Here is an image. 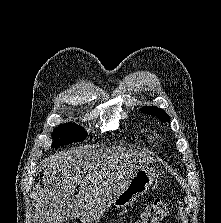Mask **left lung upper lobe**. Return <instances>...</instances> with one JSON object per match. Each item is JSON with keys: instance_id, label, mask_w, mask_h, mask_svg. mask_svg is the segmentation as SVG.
<instances>
[{"instance_id": "5c2ea615", "label": "left lung upper lobe", "mask_w": 221, "mask_h": 223, "mask_svg": "<svg viewBox=\"0 0 221 223\" xmlns=\"http://www.w3.org/2000/svg\"><path fill=\"white\" fill-rule=\"evenodd\" d=\"M140 110L144 113L156 116L159 120H161L163 122H170V120H169L170 117L161 108H158L156 106H152V107H143Z\"/></svg>"}]
</instances>
